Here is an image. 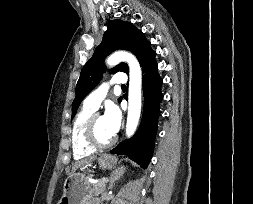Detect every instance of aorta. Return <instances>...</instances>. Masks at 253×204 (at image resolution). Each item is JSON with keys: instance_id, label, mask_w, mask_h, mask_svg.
Returning <instances> with one entry per match:
<instances>
[{"instance_id": "aorta-1", "label": "aorta", "mask_w": 253, "mask_h": 204, "mask_svg": "<svg viewBox=\"0 0 253 204\" xmlns=\"http://www.w3.org/2000/svg\"><path fill=\"white\" fill-rule=\"evenodd\" d=\"M129 65V93H128V116L126 124V135L130 137L136 131L141 113V67L134 55L126 51L113 53L107 59L108 65H116L120 62Z\"/></svg>"}]
</instances>
